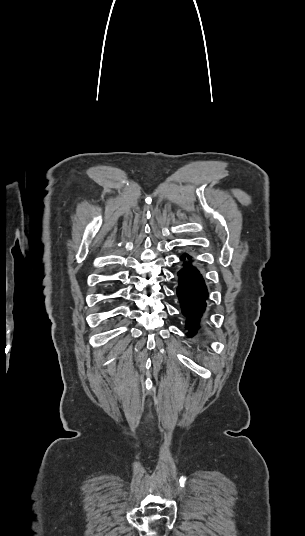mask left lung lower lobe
Segmentation results:
<instances>
[{"instance_id": "0a47b994", "label": "left lung lower lobe", "mask_w": 305, "mask_h": 536, "mask_svg": "<svg viewBox=\"0 0 305 536\" xmlns=\"http://www.w3.org/2000/svg\"><path fill=\"white\" fill-rule=\"evenodd\" d=\"M192 257L185 254L181 257L183 268L178 272L179 298L182 313L186 317L187 335L193 337L201 328V318L206 308L208 297L207 287L200 272L192 265ZM187 260V261H185Z\"/></svg>"}]
</instances>
